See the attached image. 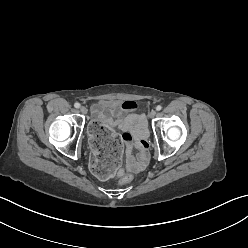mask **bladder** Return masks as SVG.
Listing matches in <instances>:
<instances>
[{"mask_svg":"<svg viewBox=\"0 0 248 248\" xmlns=\"http://www.w3.org/2000/svg\"><path fill=\"white\" fill-rule=\"evenodd\" d=\"M122 115H124V113L121 112L116 117H112L111 114L107 111L105 101H99L93 108L92 114L94 122H102L107 120L108 118L118 119Z\"/></svg>","mask_w":248,"mask_h":248,"instance_id":"31cf9c89","label":"bladder"}]
</instances>
